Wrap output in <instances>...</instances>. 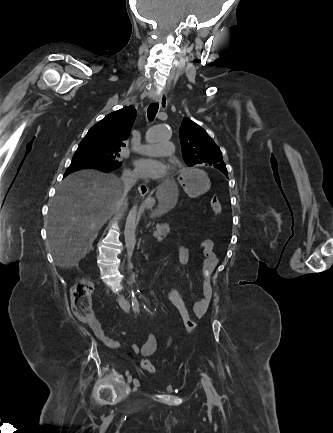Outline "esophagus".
<instances>
[{
    "mask_svg": "<svg viewBox=\"0 0 333 433\" xmlns=\"http://www.w3.org/2000/svg\"><path fill=\"white\" fill-rule=\"evenodd\" d=\"M155 101L159 103L161 110H165L167 108V100L163 97L162 94H158L155 97ZM138 191L140 196L144 198L148 193V186L146 184H140L138 186Z\"/></svg>",
    "mask_w": 333,
    "mask_h": 433,
    "instance_id": "1",
    "label": "esophagus"
}]
</instances>
